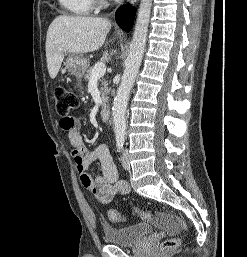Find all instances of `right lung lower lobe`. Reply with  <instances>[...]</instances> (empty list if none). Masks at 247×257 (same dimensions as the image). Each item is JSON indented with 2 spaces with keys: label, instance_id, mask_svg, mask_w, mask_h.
Wrapping results in <instances>:
<instances>
[{
  "label": "right lung lower lobe",
  "instance_id": "obj_1",
  "mask_svg": "<svg viewBox=\"0 0 247 257\" xmlns=\"http://www.w3.org/2000/svg\"><path fill=\"white\" fill-rule=\"evenodd\" d=\"M134 16L135 9L130 5L120 7L115 13L117 24L125 31H129L132 27Z\"/></svg>",
  "mask_w": 247,
  "mask_h": 257
}]
</instances>
